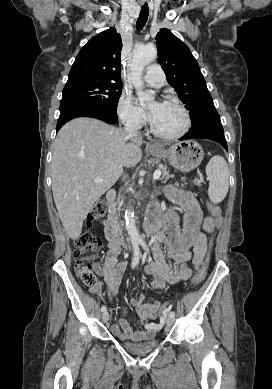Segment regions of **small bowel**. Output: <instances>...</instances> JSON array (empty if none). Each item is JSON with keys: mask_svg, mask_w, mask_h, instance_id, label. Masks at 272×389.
Instances as JSON below:
<instances>
[{"mask_svg": "<svg viewBox=\"0 0 272 389\" xmlns=\"http://www.w3.org/2000/svg\"><path fill=\"white\" fill-rule=\"evenodd\" d=\"M169 199L183 210V229L179 225V217L175 212H170L165 218L164 228L159 235V242L166 246L169 256L176 264L169 265L158 246L155 247V256L149 263L146 273L154 277L152 287L157 290H165L168 284H176L188 280L193 269L188 266L192 261L194 268L198 269L203 262L207 251L206 233H211L215 228L212 216H203L199 204L190 192L169 187L167 189ZM155 211V210H154ZM120 254L119 245L109 244L106 261L103 267L95 266V271L103 277L109 297L112 299L122 282L126 270V262L118 261ZM102 287L100 281L90 287L92 293H97ZM143 325L142 331H133L125 319H119L117 324L111 326V332L120 340L142 341L155 335L158 325L152 321L156 318L160 308V301L144 302L143 296L130 299Z\"/></svg>", "mask_w": 272, "mask_h": 389, "instance_id": "c3829d8e", "label": "small bowel"}]
</instances>
